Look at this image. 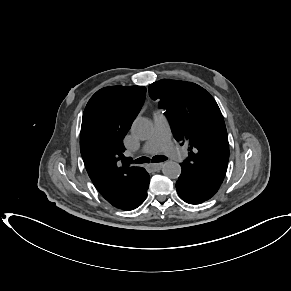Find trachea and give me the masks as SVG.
Returning <instances> with one entry per match:
<instances>
[{
  "label": "trachea",
  "instance_id": "1",
  "mask_svg": "<svg viewBox=\"0 0 291 291\" xmlns=\"http://www.w3.org/2000/svg\"><path fill=\"white\" fill-rule=\"evenodd\" d=\"M167 158L165 157V156H162V155H156V156H154L153 158H152V160H151V162L152 163H158V162H163V161H165ZM135 163H148V162H150V158H148V157H140V158H138V159H136L135 161H134Z\"/></svg>",
  "mask_w": 291,
  "mask_h": 291
}]
</instances>
